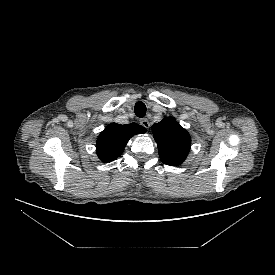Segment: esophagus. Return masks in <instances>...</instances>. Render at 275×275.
<instances>
[{
  "label": "esophagus",
  "instance_id": "obj_1",
  "mask_svg": "<svg viewBox=\"0 0 275 275\" xmlns=\"http://www.w3.org/2000/svg\"><path fill=\"white\" fill-rule=\"evenodd\" d=\"M140 125L146 129H149L150 127V123L146 118L140 120Z\"/></svg>",
  "mask_w": 275,
  "mask_h": 275
}]
</instances>
